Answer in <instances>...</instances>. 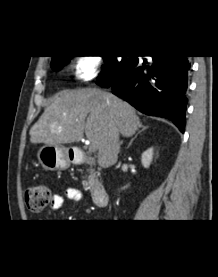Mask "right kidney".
Instances as JSON below:
<instances>
[{
    "label": "right kidney",
    "mask_w": 218,
    "mask_h": 277,
    "mask_svg": "<svg viewBox=\"0 0 218 277\" xmlns=\"http://www.w3.org/2000/svg\"><path fill=\"white\" fill-rule=\"evenodd\" d=\"M153 158V148H149L145 152L142 153L141 163L144 168H148L152 162Z\"/></svg>",
    "instance_id": "ca27d5eb"
}]
</instances>
